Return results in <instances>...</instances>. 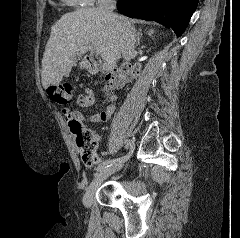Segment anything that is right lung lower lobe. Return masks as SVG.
I'll use <instances>...</instances> for the list:
<instances>
[{
	"label": "right lung lower lobe",
	"mask_w": 240,
	"mask_h": 238,
	"mask_svg": "<svg viewBox=\"0 0 240 238\" xmlns=\"http://www.w3.org/2000/svg\"><path fill=\"white\" fill-rule=\"evenodd\" d=\"M199 0H118L125 16L156 21L171 27L177 36L185 31Z\"/></svg>",
	"instance_id": "obj_1"
}]
</instances>
